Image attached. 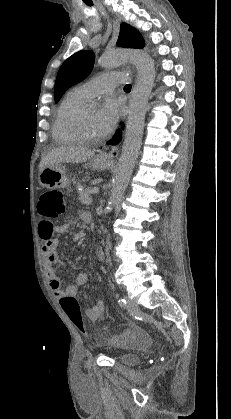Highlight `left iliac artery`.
Listing matches in <instances>:
<instances>
[{
	"label": "left iliac artery",
	"instance_id": "1",
	"mask_svg": "<svg viewBox=\"0 0 231 419\" xmlns=\"http://www.w3.org/2000/svg\"><path fill=\"white\" fill-rule=\"evenodd\" d=\"M118 303L120 306H125L127 304V301L125 299H119Z\"/></svg>",
	"mask_w": 231,
	"mask_h": 419
}]
</instances>
